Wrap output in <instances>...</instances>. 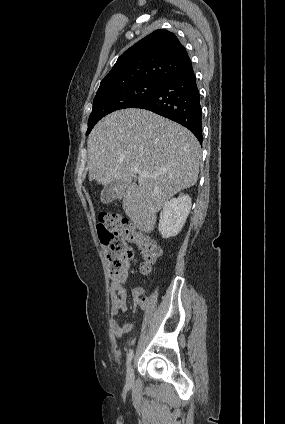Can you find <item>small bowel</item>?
<instances>
[{
	"instance_id": "c3829d8e",
	"label": "small bowel",
	"mask_w": 285,
	"mask_h": 424,
	"mask_svg": "<svg viewBox=\"0 0 285 424\" xmlns=\"http://www.w3.org/2000/svg\"><path fill=\"white\" fill-rule=\"evenodd\" d=\"M128 279V264L124 267L120 276L114 279L111 283V310L112 316L125 314L128 310L127 307V288L126 283ZM133 309L140 307L145 310L149 306V299L146 296L145 289L142 287H136L133 292ZM114 336L117 340H120L125 334L130 332L133 328V321H126L123 325H119L115 320L111 321Z\"/></svg>"
}]
</instances>
